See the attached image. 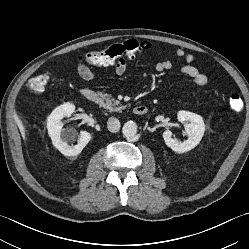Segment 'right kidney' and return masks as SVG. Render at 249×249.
Wrapping results in <instances>:
<instances>
[{
  "mask_svg": "<svg viewBox=\"0 0 249 249\" xmlns=\"http://www.w3.org/2000/svg\"><path fill=\"white\" fill-rule=\"evenodd\" d=\"M75 110V106L71 103H65L56 109L49 115L47 119L48 134L52 140V144L57 148L64 156H76L81 153L84 147L91 139L90 133L87 131H81L79 140L76 145H68V141L73 139V134L68 132H62L64 117H70Z\"/></svg>",
  "mask_w": 249,
  "mask_h": 249,
  "instance_id": "1",
  "label": "right kidney"
}]
</instances>
